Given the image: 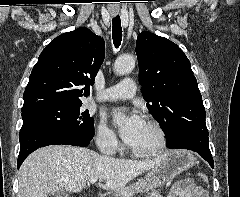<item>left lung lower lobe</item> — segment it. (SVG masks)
Here are the masks:
<instances>
[{
	"label": "left lung lower lobe",
	"instance_id": "1",
	"mask_svg": "<svg viewBox=\"0 0 240 197\" xmlns=\"http://www.w3.org/2000/svg\"><path fill=\"white\" fill-rule=\"evenodd\" d=\"M205 108L200 101H194L180 114L165 121L166 142L170 149H187L197 152L213 168L209 149L208 130L205 122Z\"/></svg>",
	"mask_w": 240,
	"mask_h": 197
}]
</instances>
